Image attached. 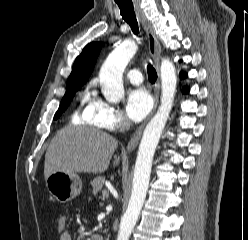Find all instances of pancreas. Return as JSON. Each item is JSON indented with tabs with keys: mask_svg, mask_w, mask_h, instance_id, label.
<instances>
[{
	"mask_svg": "<svg viewBox=\"0 0 248 240\" xmlns=\"http://www.w3.org/2000/svg\"><path fill=\"white\" fill-rule=\"evenodd\" d=\"M105 182V178L104 177H96L95 179H93V181L91 182L92 188H93V192L94 194H97L99 191H101L103 185Z\"/></svg>",
	"mask_w": 248,
	"mask_h": 240,
	"instance_id": "obj_1",
	"label": "pancreas"
}]
</instances>
